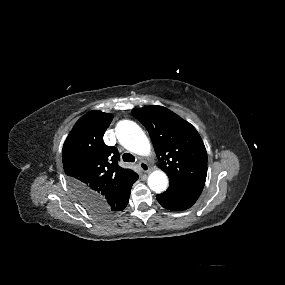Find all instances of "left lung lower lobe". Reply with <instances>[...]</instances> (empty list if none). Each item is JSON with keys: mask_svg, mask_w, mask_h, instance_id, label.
<instances>
[{"mask_svg": "<svg viewBox=\"0 0 285 285\" xmlns=\"http://www.w3.org/2000/svg\"><path fill=\"white\" fill-rule=\"evenodd\" d=\"M202 190L182 184L170 182L166 192L157 195L158 202L172 211L190 208L200 196Z\"/></svg>", "mask_w": 285, "mask_h": 285, "instance_id": "obj_1", "label": "left lung lower lobe"}]
</instances>
